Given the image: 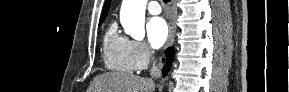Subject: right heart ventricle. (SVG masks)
<instances>
[{
	"label": "right heart ventricle",
	"instance_id": "1",
	"mask_svg": "<svg viewBox=\"0 0 289 92\" xmlns=\"http://www.w3.org/2000/svg\"><path fill=\"white\" fill-rule=\"evenodd\" d=\"M103 58L110 70L122 73L135 70L130 56V40L118 32L115 22L108 26L104 34Z\"/></svg>",
	"mask_w": 289,
	"mask_h": 92
}]
</instances>
